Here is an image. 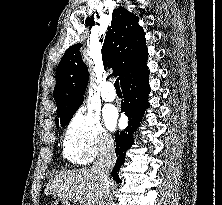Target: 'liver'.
Returning <instances> with one entry per match:
<instances>
[{
	"instance_id": "obj_1",
	"label": "liver",
	"mask_w": 222,
	"mask_h": 205,
	"mask_svg": "<svg viewBox=\"0 0 222 205\" xmlns=\"http://www.w3.org/2000/svg\"><path fill=\"white\" fill-rule=\"evenodd\" d=\"M46 195L58 197L65 203L102 205L105 190L93 169H74L52 178L45 188Z\"/></svg>"
}]
</instances>
